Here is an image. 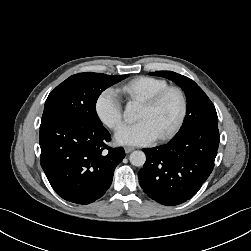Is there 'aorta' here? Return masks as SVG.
I'll return each mask as SVG.
<instances>
[{
	"instance_id": "762f6f07",
	"label": "aorta",
	"mask_w": 251,
	"mask_h": 251,
	"mask_svg": "<svg viewBox=\"0 0 251 251\" xmlns=\"http://www.w3.org/2000/svg\"><path fill=\"white\" fill-rule=\"evenodd\" d=\"M136 112V105L133 102H128L125 108V114L128 116H133ZM130 163L134 166H143L146 161V155L143 151H133L130 154Z\"/></svg>"
}]
</instances>
